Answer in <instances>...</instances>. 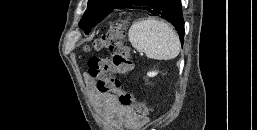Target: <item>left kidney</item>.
Segmentation results:
<instances>
[{
  "label": "left kidney",
  "instance_id": "1",
  "mask_svg": "<svg viewBox=\"0 0 257 130\" xmlns=\"http://www.w3.org/2000/svg\"><path fill=\"white\" fill-rule=\"evenodd\" d=\"M157 75V72H149L148 73V76L149 77H154V76H156Z\"/></svg>",
  "mask_w": 257,
  "mask_h": 130
}]
</instances>
